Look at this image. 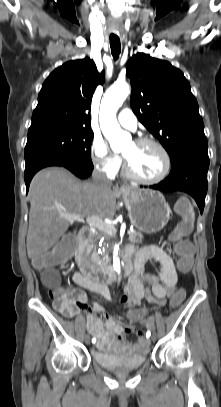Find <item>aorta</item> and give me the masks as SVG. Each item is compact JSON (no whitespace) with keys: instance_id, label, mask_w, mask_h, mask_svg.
Masks as SVG:
<instances>
[{"instance_id":"aorta-1","label":"aorta","mask_w":221,"mask_h":407,"mask_svg":"<svg viewBox=\"0 0 221 407\" xmlns=\"http://www.w3.org/2000/svg\"><path fill=\"white\" fill-rule=\"evenodd\" d=\"M129 94L130 87L127 83L115 84L106 91L101 102L100 127L113 150L120 147V140L123 136V132L117 122L116 113ZM118 251L119 246L116 245L113 252V267L119 274L121 266Z\"/></svg>"}]
</instances>
